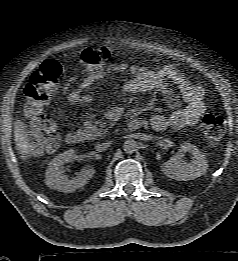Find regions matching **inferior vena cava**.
I'll return each mask as SVG.
<instances>
[{
  "label": "inferior vena cava",
  "instance_id": "602c4592",
  "mask_svg": "<svg viewBox=\"0 0 238 261\" xmlns=\"http://www.w3.org/2000/svg\"><path fill=\"white\" fill-rule=\"evenodd\" d=\"M109 146H110V142L98 143L96 145V151L98 152L105 151Z\"/></svg>",
  "mask_w": 238,
  "mask_h": 261
}]
</instances>
